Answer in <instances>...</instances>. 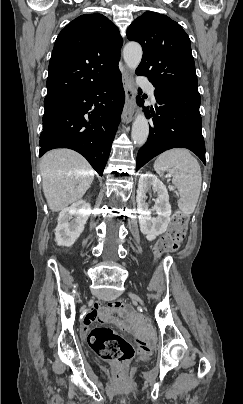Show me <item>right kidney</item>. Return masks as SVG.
<instances>
[{
    "mask_svg": "<svg viewBox=\"0 0 243 404\" xmlns=\"http://www.w3.org/2000/svg\"><path fill=\"white\" fill-rule=\"evenodd\" d=\"M89 218L85 202H75L70 208H64L59 214L57 228H55V242L57 246H73Z\"/></svg>",
    "mask_w": 243,
    "mask_h": 404,
    "instance_id": "obj_1",
    "label": "right kidney"
}]
</instances>
